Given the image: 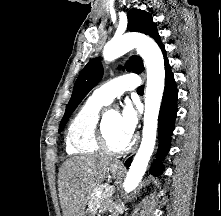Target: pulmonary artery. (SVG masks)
Here are the masks:
<instances>
[{
  "instance_id": "obj_1",
  "label": "pulmonary artery",
  "mask_w": 221,
  "mask_h": 216,
  "mask_svg": "<svg viewBox=\"0 0 221 216\" xmlns=\"http://www.w3.org/2000/svg\"><path fill=\"white\" fill-rule=\"evenodd\" d=\"M139 84L138 76L132 74L121 75L95 89L91 98L98 102L109 104L114 98L122 95L127 90L137 88Z\"/></svg>"
}]
</instances>
